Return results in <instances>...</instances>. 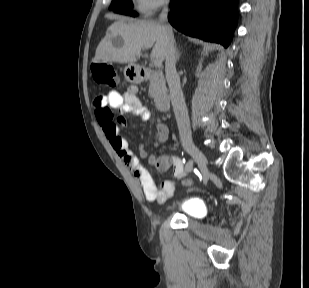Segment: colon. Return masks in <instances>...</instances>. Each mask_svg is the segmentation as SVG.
Here are the masks:
<instances>
[{
    "label": "colon",
    "mask_w": 309,
    "mask_h": 288,
    "mask_svg": "<svg viewBox=\"0 0 309 288\" xmlns=\"http://www.w3.org/2000/svg\"><path fill=\"white\" fill-rule=\"evenodd\" d=\"M94 78L98 84L105 85L108 87H115L117 85V74L115 69L106 63H96L94 65ZM121 122L123 118L119 119ZM190 180H184L185 185H189Z\"/></svg>",
    "instance_id": "5ec220e1"
}]
</instances>
